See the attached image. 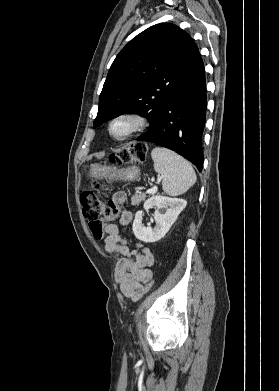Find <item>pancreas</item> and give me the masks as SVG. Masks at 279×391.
I'll use <instances>...</instances> for the list:
<instances>
[{
  "mask_svg": "<svg viewBox=\"0 0 279 391\" xmlns=\"http://www.w3.org/2000/svg\"><path fill=\"white\" fill-rule=\"evenodd\" d=\"M145 198H146L145 194H141L137 192L135 195L132 196L131 203L134 206H138L142 201L145 200Z\"/></svg>",
  "mask_w": 279,
  "mask_h": 391,
  "instance_id": "pancreas-1",
  "label": "pancreas"
}]
</instances>
